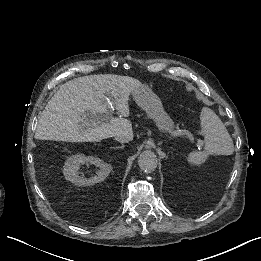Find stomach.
I'll return each mask as SVG.
<instances>
[{"mask_svg": "<svg viewBox=\"0 0 261 261\" xmlns=\"http://www.w3.org/2000/svg\"><path fill=\"white\" fill-rule=\"evenodd\" d=\"M132 96L161 132L171 133L174 130V122L164 111L160 98L148 86L136 87L132 91Z\"/></svg>", "mask_w": 261, "mask_h": 261, "instance_id": "stomach-1", "label": "stomach"}]
</instances>
